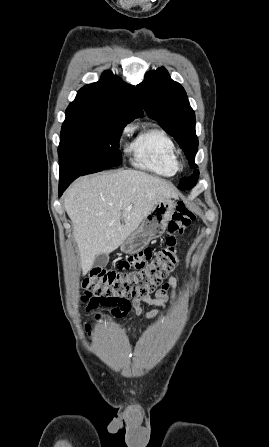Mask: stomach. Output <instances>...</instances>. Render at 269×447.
Listing matches in <instances>:
<instances>
[{"label":"stomach","instance_id":"stomach-1","mask_svg":"<svg viewBox=\"0 0 269 447\" xmlns=\"http://www.w3.org/2000/svg\"><path fill=\"white\" fill-rule=\"evenodd\" d=\"M175 206L174 200H170V198L157 202L149 214L145 216L142 224L121 243V251L135 253V251H140L145 245H148L151 239L160 237L171 220Z\"/></svg>","mask_w":269,"mask_h":447}]
</instances>
